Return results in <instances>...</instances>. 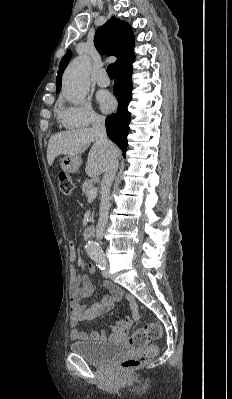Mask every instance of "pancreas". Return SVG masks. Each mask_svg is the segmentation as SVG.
<instances>
[{
  "label": "pancreas",
  "instance_id": "1",
  "mask_svg": "<svg viewBox=\"0 0 232 399\" xmlns=\"http://www.w3.org/2000/svg\"><path fill=\"white\" fill-rule=\"evenodd\" d=\"M94 182L93 180H85L84 184H82V192L88 196L89 190H93Z\"/></svg>",
  "mask_w": 232,
  "mask_h": 399
}]
</instances>
